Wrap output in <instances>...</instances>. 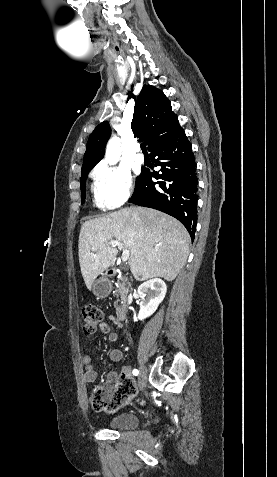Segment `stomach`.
<instances>
[{"label": "stomach", "instance_id": "obj_1", "mask_svg": "<svg viewBox=\"0 0 277 477\" xmlns=\"http://www.w3.org/2000/svg\"><path fill=\"white\" fill-rule=\"evenodd\" d=\"M111 290V282L103 276L93 282L92 292L97 297H107L110 294Z\"/></svg>", "mask_w": 277, "mask_h": 477}]
</instances>
